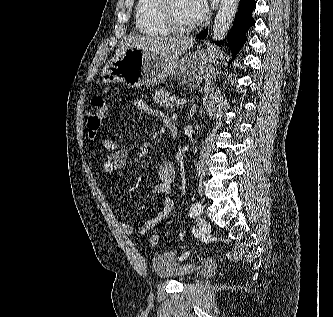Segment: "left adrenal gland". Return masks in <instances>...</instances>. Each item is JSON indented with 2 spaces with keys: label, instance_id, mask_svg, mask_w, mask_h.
<instances>
[{
  "label": "left adrenal gland",
  "instance_id": "obj_1",
  "mask_svg": "<svg viewBox=\"0 0 333 317\" xmlns=\"http://www.w3.org/2000/svg\"><path fill=\"white\" fill-rule=\"evenodd\" d=\"M195 112H196V105H193L191 107V110L189 111L187 119L189 120L195 114Z\"/></svg>",
  "mask_w": 333,
  "mask_h": 317
}]
</instances>
